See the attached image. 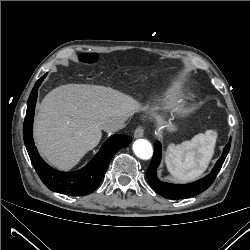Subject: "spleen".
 Listing matches in <instances>:
<instances>
[{
  "label": "spleen",
  "instance_id": "spleen-1",
  "mask_svg": "<svg viewBox=\"0 0 250 250\" xmlns=\"http://www.w3.org/2000/svg\"><path fill=\"white\" fill-rule=\"evenodd\" d=\"M216 133L207 131L198 134L191 141L178 145L169 144L165 162L172 176L181 181H190L201 176L214 154Z\"/></svg>",
  "mask_w": 250,
  "mask_h": 250
}]
</instances>
